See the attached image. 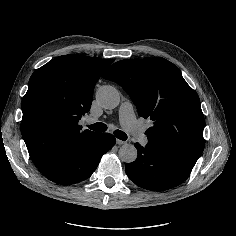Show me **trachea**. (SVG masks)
Returning a JSON list of instances; mask_svg holds the SVG:
<instances>
[{
    "instance_id": "3493384b",
    "label": "trachea",
    "mask_w": 236,
    "mask_h": 236,
    "mask_svg": "<svg viewBox=\"0 0 236 236\" xmlns=\"http://www.w3.org/2000/svg\"><path fill=\"white\" fill-rule=\"evenodd\" d=\"M89 129L93 130V131H96V132H104L106 131L107 127L104 123H94L90 126H88ZM114 135L120 139V140H123V141H126L128 139V136L126 133H124L123 131L121 130H115L114 131Z\"/></svg>"
}]
</instances>
